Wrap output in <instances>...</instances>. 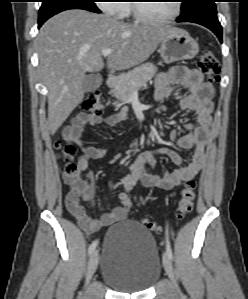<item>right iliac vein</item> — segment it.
<instances>
[{"instance_id":"1","label":"right iliac vein","mask_w":248,"mask_h":299,"mask_svg":"<svg viewBox=\"0 0 248 299\" xmlns=\"http://www.w3.org/2000/svg\"><path fill=\"white\" fill-rule=\"evenodd\" d=\"M97 266H98V251L95 250L92 252L89 259L87 274H86L87 281H89L92 278V276L96 272Z\"/></svg>"}]
</instances>
